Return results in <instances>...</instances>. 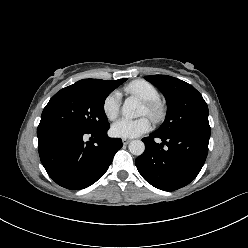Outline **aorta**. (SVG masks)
I'll use <instances>...</instances> for the list:
<instances>
[{
  "label": "aorta",
  "mask_w": 248,
  "mask_h": 248,
  "mask_svg": "<svg viewBox=\"0 0 248 248\" xmlns=\"http://www.w3.org/2000/svg\"><path fill=\"white\" fill-rule=\"evenodd\" d=\"M122 114L127 118H136L141 114V104L138 99L129 97L122 106ZM129 151L136 156L143 154L145 144L141 140H133L129 143Z\"/></svg>",
  "instance_id": "obj_1"
}]
</instances>
